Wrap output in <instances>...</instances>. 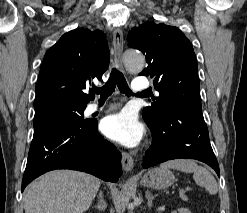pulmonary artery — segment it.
I'll list each match as a JSON object with an SVG mask.
<instances>
[{"label":"pulmonary artery","instance_id":"e3ab8cb5","mask_svg":"<svg viewBox=\"0 0 247 213\" xmlns=\"http://www.w3.org/2000/svg\"><path fill=\"white\" fill-rule=\"evenodd\" d=\"M150 82L149 78L147 77H138L134 80L132 89L134 92H143L146 88H148ZM105 106V104H99L97 102H94L88 106V111L90 113L96 112L100 109H102Z\"/></svg>","mask_w":247,"mask_h":213}]
</instances>
